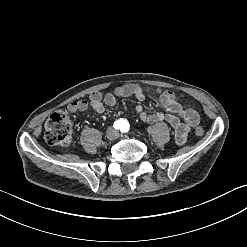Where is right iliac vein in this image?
Returning <instances> with one entry per match:
<instances>
[{
    "instance_id": "63e3f726",
    "label": "right iliac vein",
    "mask_w": 247,
    "mask_h": 247,
    "mask_svg": "<svg viewBox=\"0 0 247 247\" xmlns=\"http://www.w3.org/2000/svg\"><path fill=\"white\" fill-rule=\"evenodd\" d=\"M115 137H116V133L114 130H110L106 134V138H108V139H114Z\"/></svg>"
}]
</instances>
